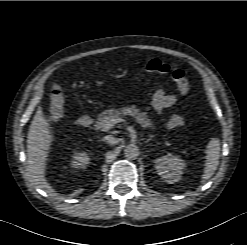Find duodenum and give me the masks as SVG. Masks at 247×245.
<instances>
[{
  "label": "duodenum",
  "mask_w": 247,
  "mask_h": 245,
  "mask_svg": "<svg viewBox=\"0 0 247 245\" xmlns=\"http://www.w3.org/2000/svg\"><path fill=\"white\" fill-rule=\"evenodd\" d=\"M91 121V117L87 114H84L78 117V119L76 120V125L81 128H86L90 126Z\"/></svg>",
  "instance_id": "obj_1"
}]
</instances>
